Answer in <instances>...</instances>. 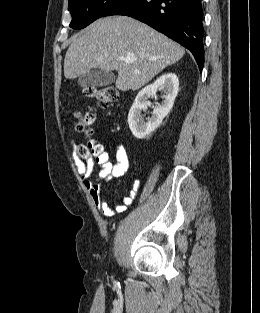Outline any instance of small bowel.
<instances>
[{
    "instance_id": "obj_1",
    "label": "small bowel",
    "mask_w": 260,
    "mask_h": 313,
    "mask_svg": "<svg viewBox=\"0 0 260 313\" xmlns=\"http://www.w3.org/2000/svg\"><path fill=\"white\" fill-rule=\"evenodd\" d=\"M71 145L76 171L82 177V184L88 191L95 207L107 218H112L116 214L125 212L137 194L140 184L138 179L133 182L130 192L121 201L117 202L114 208L103 198L101 189L104 181L118 178L128 170L129 157L126 149L120 144L115 145L114 162H111L108 155L103 153L100 157L101 169L98 175L92 178L90 176V164L80 160L76 154V141L73 137L71 138Z\"/></svg>"
}]
</instances>
